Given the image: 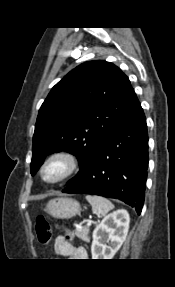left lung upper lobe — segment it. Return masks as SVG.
Instances as JSON below:
<instances>
[{
	"mask_svg": "<svg viewBox=\"0 0 175 287\" xmlns=\"http://www.w3.org/2000/svg\"><path fill=\"white\" fill-rule=\"evenodd\" d=\"M138 102L128 77L110 62L90 61L70 71L39 110L31 174L48 154L65 150L78 158L80 171L67 185L76 182L91 167L101 142Z\"/></svg>",
	"mask_w": 175,
	"mask_h": 287,
	"instance_id": "obj_1",
	"label": "left lung upper lobe"
}]
</instances>
